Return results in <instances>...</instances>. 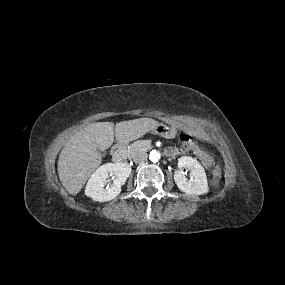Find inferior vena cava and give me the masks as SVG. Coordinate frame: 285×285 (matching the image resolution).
I'll return each instance as SVG.
<instances>
[{
	"mask_svg": "<svg viewBox=\"0 0 285 285\" xmlns=\"http://www.w3.org/2000/svg\"><path fill=\"white\" fill-rule=\"evenodd\" d=\"M134 162L136 163H141V162H145L147 160V154L145 152H140L137 153L134 158H133Z\"/></svg>",
	"mask_w": 285,
	"mask_h": 285,
	"instance_id": "inferior-vena-cava-1",
	"label": "inferior vena cava"
}]
</instances>
